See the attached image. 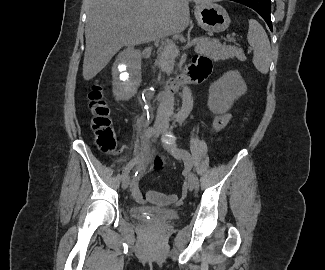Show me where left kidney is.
Masks as SVG:
<instances>
[{"mask_svg": "<svg viewBox=\"0 0 325 270\" xmlns=\"http://www.w3.org/2000/svg\"><path fill=\"white\" fill-rule=\"evenodd\" d=\"M247 86L238 71H229L209 87L208 107L214 114L231 109L235 100L244 95Z\"/></svg>", "mask_w": 325, "mask_h": 270, "instance_id": "1", "label": "left kidney"}]
</instances>
